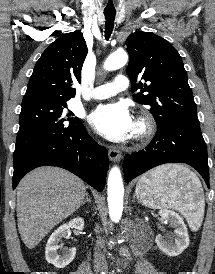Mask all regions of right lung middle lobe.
<instances>
[{
	"label": "right lung middle lobe",
	"instance_id": "1",
	"mask_svg": "<svg viewBox=\"0 0 215 274\" xmlns=\"http://www.w3.org/2000/svg\"><path fill=\"white\" fill-rule=\"evenodd\" d=\"M66 101H36L22 105L14 162L36 146L79 128L82 123L66 111Z\"/></svg>",
	"mask_w": 215,
	"mask_h": 274
}]
</instances>
